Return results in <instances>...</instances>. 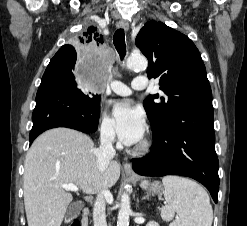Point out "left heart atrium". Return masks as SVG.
<instances>
[{
  "instance_id": "1",
  "label": "left heart atrium",
  "mask_w": 247,
  "mask_h": 226,
  "mask_svg": "<svg viewBox=\"0 0 247 226\" xmlns=\"http://www.w3.org/2000/svg\"><path fill=\"white\" fill-rule=\"evenodd\" d=\"M112 115L119 139L125 145L139 143L146 130L143 113L128 100L116 101L112 105Z\"/></svg>"
}]
</instances>
